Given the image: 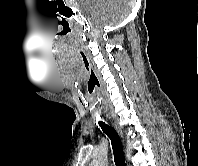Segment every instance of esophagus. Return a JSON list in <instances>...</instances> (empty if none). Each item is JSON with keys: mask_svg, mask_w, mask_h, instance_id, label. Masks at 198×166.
<instances>
[{"mask_svg": "<svg viewBox=\"0 0 198 166\" xmlns=\"http://www.w3.org/2000/svg\"><path fill=\"white\" fill-rule=\"evenodd\" d=\"M113 125L115 129L117 130V132L120 134V136L123 137V132H122V129L119 127V125L116 122H114Z\"/></svg>", "mask_w": 198, "mask_h": 166, "instance_id": "34e87169", "label": "esophagus"}]
</instances>
